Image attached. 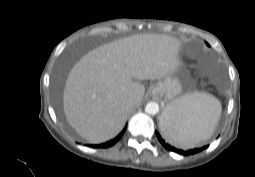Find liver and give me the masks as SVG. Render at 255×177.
<instances>
[{"instance_id":"liver-1","label":"liver","mask_w":255,"mask_h":177,"mask_svg":"<svg viewBox=\"0 0 255 177\" xmlns=\"http://www.w3.org/2000/svg\"><path fill=\"white\" fill-rule=\"evenodd\" d=\"M179 50L180 42L172 36L136 34L88 52L65 83L63 108L68 123L89 143L114 138L143 99L145 87L138 81L160 80L176 71Z\"/></svg>"}]
</instances>
